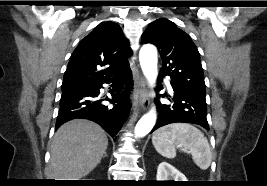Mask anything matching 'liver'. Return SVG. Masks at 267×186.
Segmentation results:
<instances>
[{"label": "liver", "mask_w": 267, "mask_h": 186, "mask_svg": "<svg viewBox=\"0 0 267 186\" xmlns=\"http://www.w3.org/2000/svg\"><path fill=\"white\" fill-rule=\"evenodd\" d=\"M107 146V136L96 123L85 119L69 121L54 135L47 176L79 180L100 163Z\"/></svg>", "instance_id": "1"}]
</instances>
